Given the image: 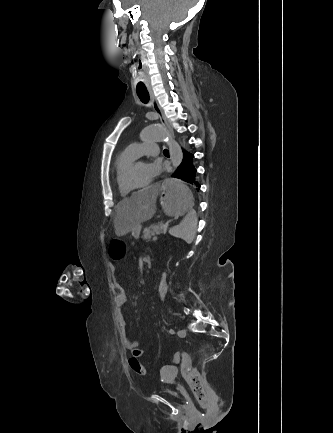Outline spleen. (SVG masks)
<instances>
[{
	"instance_id": "obj_1",
	"label": "spleen",
	"mask_w": 333,
	"mask_h": 433,
	"mask_svg": "<svg viewBox=\"0 0 333 433\" xmlns=\"http://www.w3.org/2000/svg\"><path fill=\"white\" fill-rule=\"evenodd\" d=\"M196 228L197 217L195 210L193 209L189 210L188 215H184L183 220L178 225L170 228L169 233L172 236L183 239L186 243L191 244L196 236Z\"/></svg>"
}]
</instances>
